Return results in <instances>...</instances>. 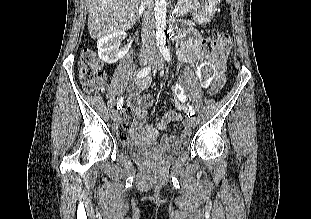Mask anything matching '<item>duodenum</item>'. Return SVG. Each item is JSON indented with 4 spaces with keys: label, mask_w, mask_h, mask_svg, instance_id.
Masks as SVG:
<instances>
[{
    "label": "duodenum",
    "mask_w": 311,
    "mask_h": 219,
    "mask_svg": "<svg viewBox=\"0 0 311 219\" xmlns=\"http://www.w3.org/2000/svg\"><path fill=\"white\" fill-rule=\"evenodd\" d=\"M169 29L171 37L174 38L178 33L182 32L185 29V26L178 22L173 21L170 23Z\"/></svg>",
    "instance_id": "obj_1"
}]
</instances>
